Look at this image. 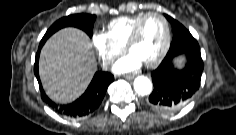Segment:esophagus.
Here are the masks:
<instances>
[{
	"instance_id": "1",
	"label": "esophagus",
	"mask_w": 236,
	"mask_h": 135,
	"mask_svg": "<svg viewBox=\"0 0 236 135\" xmlns=\"http://www.w3.org/2000/svg\"><path fill=\"white\" fill-rule=\"evenodd\" d=\"M134 78V75H126L125 79L127 80H132Z\"/></svg>"
}]
</instances>
